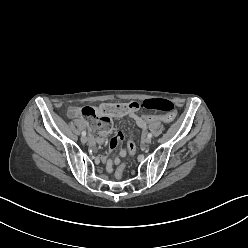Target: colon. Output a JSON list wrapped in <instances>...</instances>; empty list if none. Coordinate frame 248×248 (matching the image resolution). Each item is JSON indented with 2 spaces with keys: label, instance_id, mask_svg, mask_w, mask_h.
<instances>
[{
  "label": "colon",
  "instance_id": "5ec220e1",
  "mask_svg": "<svg viewBox=\"0 0 248 248\" xmlns=\"http://www.w3.org/2000/svg\"><path fill=\"white\" fill-rule=\"evenodd\" d=\"M139 108L166 112V114L159 115H150L149 113H144L143 118L141 119L143 128H146V126L149 124L157 125L161 122H170L174 119L176 114V107L174 103L167 99H148L141 102L140 104L137 102L105 104L103 108V115H99L95 108L86 106L81 109V114L90 120L89 124L92 128L91 134L93 140L96 142H102L111 132V122L109 117H121L127 111ZM139 117H142V114H139ZM127 152L131 156H133L136 152V146L132 139H130L127 143ZM125 168V164H121L117 168V178L123 177Z\"/></svg>",
  "mask_w": 248,
  "mask_h": 248
}]
</instances>
